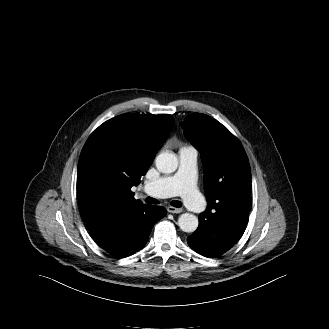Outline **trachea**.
<instances>
[{
	"mask_svg": "<svg viewBox=\"0 0 329 329\" xmlns=\"http://www.w3.org/2000/svg\"><path fill=\"white\" fill-rule=\"evenodd\" d=\"M145 202L149 203V204H158L159 203V201H157L156 199H154L152 197H147L145 199ZM171 205L176 207V208H180L182 206L180 201H175V200L171 202Z\"/></svg>",
	"mask_w": 329,
	"mask_h": 329,
	"instance_id": "trachea-1",
	"label": "trachea"
}]
</instances>
